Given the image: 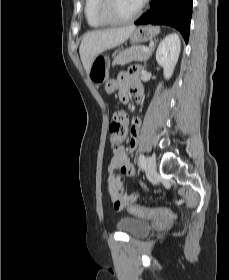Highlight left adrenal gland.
I'll return each instance as SVG.
<instances>
[{"label":"left adrenal gland","mask_w":229,"mask_h":280,"mask_svg":"<svg viewBox=\"0 0 229 280\" xmlns=\"http://www.w3.org/2000/svg\"><path fill=\"white\" fill-rule=\"evenodd\" d=\"M157 42V41H156ZM155 49V45L151 48L150 53H149V57L152 55V53L154 52ZM148 57V58H149ZM146 67V62L144 63L143 69Z\"/></svg>","instance_id":"a2214340"}]
</instances>
